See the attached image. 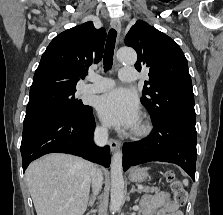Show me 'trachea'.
I'll return each mask as SVG.
<instances>
[{
	"mask_svg": "<svg viewBox=\"0 0 223 215\" xmlns=\"http://www.w3.org/2000/svg\"><path fill=\"white\" fill-rule=\"evenodd\" d=\"M117 32L111 29L108 33L107 42L104 51L103 65L104 70H110L113 64L114 48L116 43Z\"/></svg>",
	"mask_w": 223,
	"mask_h": 215,
	"instance_id": "obj_1",
	"label": "trachea"
}]
</instances>
